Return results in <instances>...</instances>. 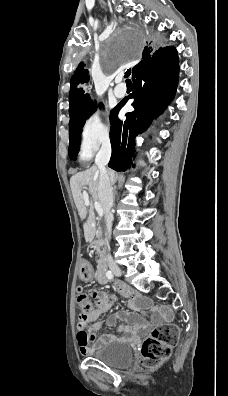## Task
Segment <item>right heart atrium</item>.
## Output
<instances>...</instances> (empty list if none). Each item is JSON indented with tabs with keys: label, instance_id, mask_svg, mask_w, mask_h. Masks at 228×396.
<instances>
[{
	"label": "right heart atrium",
	"instance_id": "obj_1",
	"mask_svg": "<svg viewBox=\"0 0 228 396\" xmlns=\"http://www.w3.org/2000/svg\"><path fill=\"white\" fill-rule=\"evenodd\" d=\"M110 141V131L98 112L90 113L83 121L80 129V153L90 156L100 147L107 146Z\"/></svg>",
	"mask_w": 228,
	"mask_h": 396
}]
</instances>
